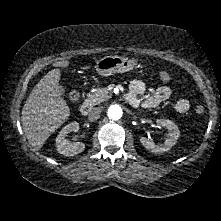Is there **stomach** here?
Segmentation results:
<instances>
[{
    "label": "stomach",
    "mask_w": 221,
    "mask_h": 221,
    "mask_svg": "<svg viewBox=\"0 0 221 221\" xmlns=\"http://www.w3.org/2000/svg\"><path fill=\"white\" fill-rule=\"evenodd\" d=\"M136 64V60L121 56H105L96 61L95 70L103 77L114 73H124L131 71Z\"/></svg>",
    "instance_id": "1"
}]
</instances>
